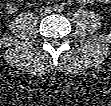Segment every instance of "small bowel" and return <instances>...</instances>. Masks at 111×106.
<instances>
[{
    "mask_svg": "<svg viewBox=\"0 0 111 106\" xmlns=\"http://www.w3.org/2000/svg\"><path fill=\"white\" fill-rule=\"evenodd\" d=\"M81 2H89V1H85V0H84V1H81Z\"/></svg>",
    "mask_w": 111,
    "mask_h": 106,
    "instance_id": "small-bowel-1",
    "label": "small bowel"
}]
</instances>
